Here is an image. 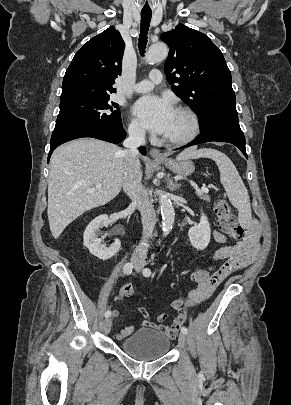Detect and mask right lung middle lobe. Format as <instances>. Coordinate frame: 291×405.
<instances>
[{
  "mask_svg": "<svg viewBox=\"0 0 291 405\" xmlns=\"http://www.w3.org/2000/svg\"><path fill=\"white\" fill-rule=\"evenodd\" d=\"M110 95L60 101L51 141L82 130H108L122 126L118 104Z\"/></svg>",
  "mask_w": 291,
  "mask_h": 405,
  "instance_id": "obj_1",
  "label": "right lung middle lobe"
}]
</instances>
